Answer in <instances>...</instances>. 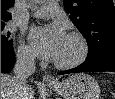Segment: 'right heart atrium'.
Instances as JSON below:
<instances>
[{
  "label": "right heart atrium",
  "mask_w": 115,
  "mask_h": 99,
  "mask_svg": "<svg viewBox=\"0 0 115 99\" xmlns=\"http://www.w3.org/2000/svg\"><path fill=\"white\" fill-rule=\"evenodd\" d=\"M17 58L23 64H31L34 60L32 51L24 44L18 46Z\"/></svg>",
  "instance_id": "right-heart-atrium-1"
}]
</instances>
